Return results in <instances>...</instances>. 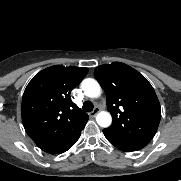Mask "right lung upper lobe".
Wrapping results in <instances>:
<instances>
[{
  "instance_id": "1",
  "label": "right lung upper lobe",
  "mask_w": 181,
  "mask_h": 181,
  "mask_svg": "<svg viewBox=\"0 0 181 181\" xmlns=\"http://www.w3.org/2000/svg\"><path fill=\"white\" fill-rule=\"evenodd\" d=\"M88 68L54 65L37 73L27 85L21 104L26 133L47 153L66 147L85 126L88 115L70 99Z\"/></svg>"
}]
</instances>
